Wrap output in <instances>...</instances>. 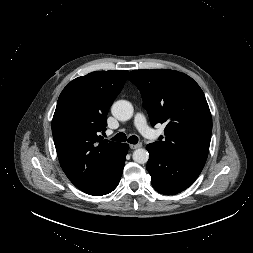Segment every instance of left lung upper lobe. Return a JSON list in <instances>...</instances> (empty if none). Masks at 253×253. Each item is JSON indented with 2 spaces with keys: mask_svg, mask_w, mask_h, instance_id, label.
Returning a JSON list of instances; mask_svg holds the SVG:
<instances>
[{
  "mask_svg": "<svg viewBox=\"0 0 253 253\" xmlns=\"http://www.w3.org/2000/svg\"><path fill=\"white\" fill-rule=\"evenodd\" d=\"M128 79L140 90L152 126L165 123V139L154 142L171 158L203 169L212 118L205 95L188 75L165 69L134 70Z\"/></svg>",
  "mask_w": 253,
  "mask_h": 253,
  "instance_id": "left-lung-upper-lobe-1",
  "label": "left lung upper lobe"
}]
</instances>
